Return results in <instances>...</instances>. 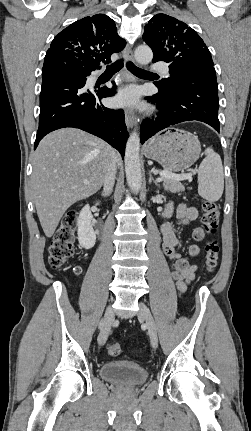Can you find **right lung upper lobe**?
<instances>
[{
    "label": "right lung upper lobe",
    "instance_id": "obj_1",
    "mask_svg": "<svg viewBox=\"0 0 251 431\" xmlns=\"http://www.w3.org/2000/svg\"><path fill=\"white\" fill-rule=\"evenodd\" d=\"M126 42L117 34L115 22L105 14L78 20L52 41L43 68L64 61L87 70L111 62L110 56L123 50Z\"/></svg>",
    "mask_w": 251,
    "mask_h": 431
}]
</instances>
